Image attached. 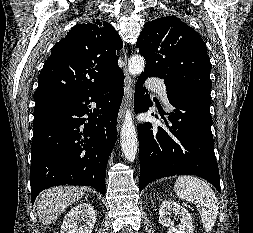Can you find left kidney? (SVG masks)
Here are the masks:
<instances>
[{
    "mask_svg": "<svg viewBox=\"0 0 253 233\" xmlns=\"http://www.w3.org/2000/svg\"><path fill=\"white\" fill-rule=\"evenodd\" d=\"M175 213L180 218L179 225L175 226L168 215ZM159 223L168 227V233H194L193 222L189 212L174 201L162 202L159 211Z\"/></svg>",
    "mask_w": 253,
    "mask_h": 233,
    "instance_id": "5707ae66",
    "label": "left kidney"
}]
</instances>
